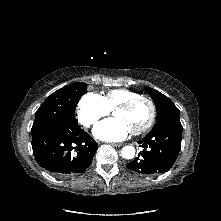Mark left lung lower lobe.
Wrapping results in <instances>:
<instances>
[{"label":"left lung lower lobe","mask_w":221,"mask_h":221,"mask_svg":"<svg viewBox=\"0 0 221 221\" xmlns=\"http://www.w3.org/2000/svg\"><path fill=\"white\" fill-rule=\"evenodd\" d=\"M182 130V125L175 123H166L153 128L138 142L143 147V151L128 163L127 167L148 175L168 171L180 151Z\"/></svg>","instance_id":"obj_1"}]
</instances>
